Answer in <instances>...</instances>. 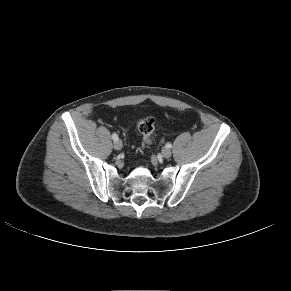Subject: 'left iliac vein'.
<instances>
[{
    "instance_id": "obj_1",
    "label": "left iliac vein",
    "mask_w": 291,
    "mask_h": 291,
    "mask_svg": "<svg viewBox=\"0 0 291 291\" xmlns=\"http://www.w3.org/2000/svg\"><path fill=\"white\" fill-rule=\"evenodd\" d=\"M171 150L169 149V148H164L163 150H162V156L164 157V158H170L171 157Z\"/></svg>"
}]
</instances>
